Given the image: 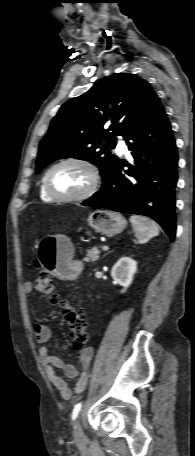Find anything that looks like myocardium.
<instances>
[{
	"mask_svg": "<svg viewBox=\"0 0 195 456\" xmlns=\"http://www.w3.org/2000/svg\"><path fill=\"white\" fill-rule=\"evenodd\" d=\"M69 163L78 164V165L85 167L90 173L91 181H90L88 188L84 192L77 194V195L64 196V195L57 194L56 192H54L52 190V188L49 184V177L54 169H56L57 167H59L61 165L69 164ZM42 183H43V187H44L46 194L53 200H56L59 202H81V201H85L88 198H90L91 196H93L95 194V192L98 190L99 185H100V175H99V172H98V169L96 168V166L93 163H91L89 160H86L83 158H78V157H69V158L62 159V160L56 162L55 164H53L45 172L43 179H42Z\"/></svg>",
	"mask_w": 195,
	"mask_h": 456,
	"instance_id": "f54148a6",
	"label": "myocardium"
}]
</instances>
